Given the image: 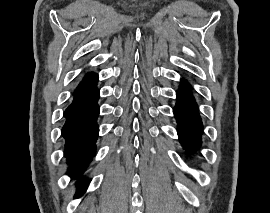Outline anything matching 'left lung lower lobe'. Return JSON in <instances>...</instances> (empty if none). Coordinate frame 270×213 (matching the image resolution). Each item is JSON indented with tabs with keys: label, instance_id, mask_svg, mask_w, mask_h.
<instances>
[{
	"label": "left lung lower lobe",
	"instance_id": "obj_1",
	"mask_svg": "<svg viewBox=\"0 0 270 213\" xmlns=\"http://www.w3.org/2000/svg\"><path fill=\"white\" fill-rule=\"evenodd\" d=\"M174 116L178 123V135L187 153L194 152L201 146L202 121L196 101L183 80V85L177 92V103Z\"/></svg>",
	"mask_w": 270,
	"mask_h": 213
}]
</instances>
